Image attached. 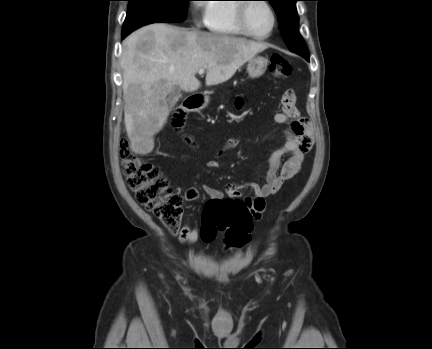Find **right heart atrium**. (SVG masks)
I'll return each mask as SVG.
<instances>
[{
  "mask_svg": "<svg viewBox=\"0 0 432 349\" xmlns=\"http://www.w3.org/2000/svg\"><path fill=\"white\" fill-rule=\"evenodd\" d=\"M192 7H193V13H194V20H195V22H198L199 16L206 13L207 4H205L202 1H197V3H194L192 5Z\"/></svg>",
  "mask_w": 432,
  "mask_h": 349,
  "instance_id": "1",
  "label": "right heart atrium"
}]
</instances>
